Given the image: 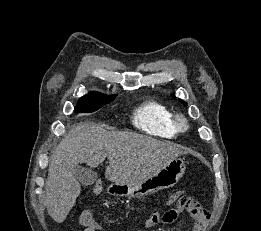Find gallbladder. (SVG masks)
I'll return each instance as SVG.
<instances>
[{
  "instance_id": "bac80fb5",
  "label": "gallbladder",
  "mask_w": 261,
  "mask_h": 231,
  "mask_svg": "<svg viewBox=\"0 0 261 231\" xmlns=\"http://www.w3.org/2000/svg\"><path fill=\"white\" fill-rule=\"evenodd\" d=\"M74 176L83 186H89L95 183L97 173L90 168L78 166L75 169Z\"/></svg>"
}]
</instances>
